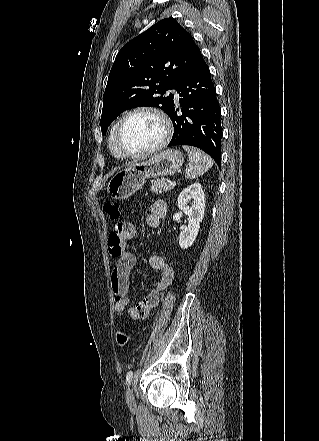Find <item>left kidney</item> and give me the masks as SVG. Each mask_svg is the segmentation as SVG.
Masks as SVG:
<instances>
[{
  "mask_svg": "<svg viewBox=\"0 0 319 441\" xmlns=\"http://www.w3.org/2000/svg\"><path fill=\"white\" fill-rule=\"evenodd\" d=\"M178 208L188 216V227L184 228L179 235L180 247L187 249L196 240L205 213V198L200 183H193L180 193Z\"/></svg>",
  "mask_w": 319,
  "mask_h": 441,
  "instance_id": "obj_1",
  "label": "left kidney"
}]
</instances>
